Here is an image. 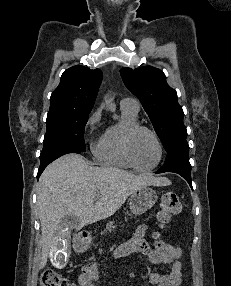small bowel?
Wrapping results in <instances>:
<instances>
[{
  "instance_id": "obj_1",
  "label": "small bowel",
  "mask_w": 231,
  "mask_h": 286,
  "mask_svg": "<svg viewBox=\"0 0 231 286\" xmlns=\"http://www.w3.org/2000/svg\"><path fill=\"white\" fill-rule=\"evenodd\" d=\"M147 230V224L140 225L131 239L115 249L112 257L119 258L134 253H143L152 265H170L171 267V271L168 274L162 275L158 272L150 274L149 280L153 286H179L182 276L181 247L162 239H156L151 246L145 239ZM100 278V262L86 263L83 265L82 272L78 278L79 286H95Z\"/></svg>"
}]
</instances>
